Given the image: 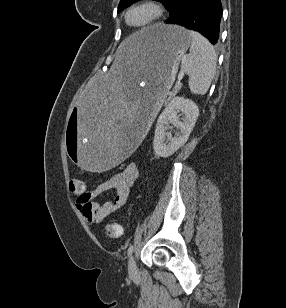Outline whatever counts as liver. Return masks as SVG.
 <instances>
[{
	"label": "liver",
	"mask_w": 286,
	"mask_h": 308,
	"mask_svg": "<svg viewBox=\"0 0 286 308\" xmlns=\"http://www.w3.org/2000/svg\"><path fill=\"white\" fill-rule=\"evenodd\" d=\"M140 43V37L137 33L126 38L119 46L116 52V60L114 66H117L123 60L131 61L136 56V50Z\"/></svg>",
	"instance_id": "6515ba94"
}]
</instances>
